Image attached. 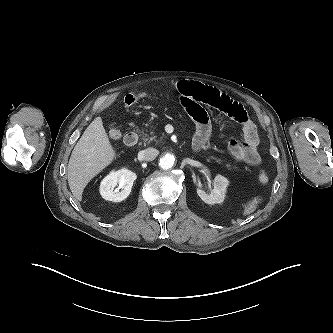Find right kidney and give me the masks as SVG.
Listing matches in <instances>:
<instances>
[{
  "instance_id": "ca27d5eb",
  "label": "right kidney",
  "mask_w": 333,
  "mask_h": 333,
  "mask_svg": "<svg viewBox=\"0 0 333 333\" xmlns=\"http://www.w3.org/2000/svg\"><path fill=\"white\" fill-rule=\"evenodd\" d=\"M137 176L127 169L112 171L100 184V194L108 201L121 202L130 194Z\"/></svg>"
}]
</instances>
